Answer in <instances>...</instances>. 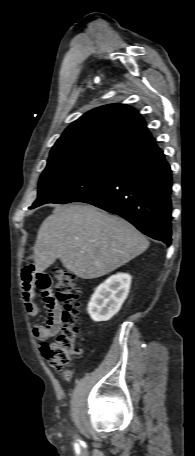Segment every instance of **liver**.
<instances>
[{
  "label": "liver",
  "instance_id": "1",
  "mask_svg": "<svg viewBox=\"0 0 195 456\" xmlns=\"http://www.w3.org/2000/svg\"><path fill=\"white\" fill-rule=\"evenodd\" d=\"M149 241L126 220L87 204L58 206L42 223L35 248L36 270L56 259L82 279L110 273L143 253Z\"/></svg>",
  "mask_w": 195,
  "mask_h": 456
}]
</instances>
